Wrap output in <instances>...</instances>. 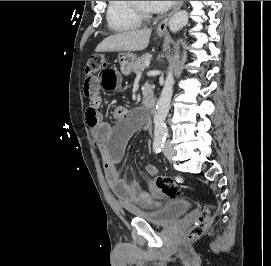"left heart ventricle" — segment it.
I'll return each instance as SVG.
<instances>
[{
    "instance_id": "1",
    "label": "left heart ventricle",
    "mask_w": 271,
    "mask_h": 266,
    "mask_svg": "<svg viewBox=\"0 0 271 266\" xmlns=\"http://www.w3.org/2000/svg\"><path fill=\"white\" fill-rule=\"evenodd\" d=\"M136 5L146 10H152L150 7V1H136Z\"/></svg>"
}]
</instances>
